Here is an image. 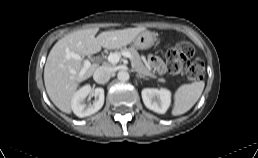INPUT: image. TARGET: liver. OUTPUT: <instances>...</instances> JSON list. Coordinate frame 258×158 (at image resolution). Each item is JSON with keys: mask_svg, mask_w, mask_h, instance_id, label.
Masks as SVG:
<instances>
[{"mask_svg": "<svg viewBox=\"0 0 258 158\" xmlns=\"http://www.w3.org/2000/svg\"><path fill=\"white\" fill-rule=\"evenodd\" d=\"M144 27L123 30L105 31L97 37L98 28L72 32L60 39L51 49L44 67V83L51 101L62 112L71 113V100L79 84L92 76L97 69L93 64L80 74L82 62L73 58L67 59V52L80 56L92 55L101 50L118 49L133 42Z\"/></svg>", "mask_w": 258, "mask_h": 158, "instance_id": "obj_1", "label": "liver"}]
</instances>
